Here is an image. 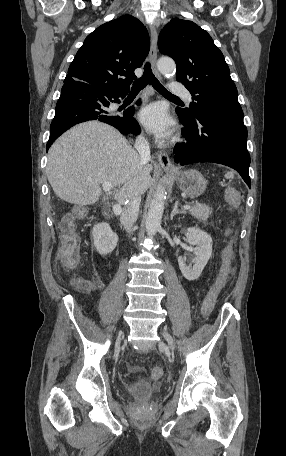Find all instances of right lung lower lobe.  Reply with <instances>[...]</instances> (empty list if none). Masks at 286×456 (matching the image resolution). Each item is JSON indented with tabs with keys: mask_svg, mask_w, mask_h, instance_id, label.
Returning <instances> with one entry per match:
<instances>
[{
	"mask_svg": "<svg viewBox=\"0 0 286 456\" xmlns=\"http://www.w3.org/2000/svg\"><path fill=\"white\" fill-rule=\"evenodd\" d=\"M127 93L110 95L94 87L74 81L64 82L61 96L56 104L55 117L50 125L51 144L70 127L89 120H98L117 128L122 134H138L140 127L133 118L134 107L123 112L111 111V103H119ZM137 105L140 101H137Z\"/></svg>",
	"mask_w": 286,
	"mask_h": 456,
	"instance_id": "right-lung-lower-lobe-1",
	"label": "right lung lower lobe"
}]
</instances>
